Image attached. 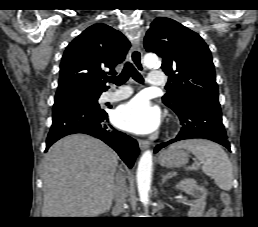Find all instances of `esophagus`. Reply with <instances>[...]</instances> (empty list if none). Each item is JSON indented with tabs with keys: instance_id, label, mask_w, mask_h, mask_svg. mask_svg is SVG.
Returning <instances> with one entry per match:
<instances>
[{
	"instance_id": "obj_1",
	"label": "esophagus",
	"mask_w": 258,
	"mask_h": 227,
	"mask_svg": "<svg viewBox=\"0 0 258 227\" xmlns=\"http://www.w3.org/2000/svg\"><path fill=\"white\" fill-rule=\"evenodd\" d=\"M137 53V54H135ZM131 61L139 71H144L145 68L142 63V51L138 43L134 44L130 53ZM139 147L141 150H145L149 147L150 143L147 140H139Z\"/></svg>"
}]
</instances>
